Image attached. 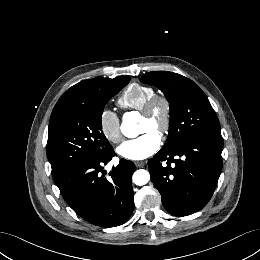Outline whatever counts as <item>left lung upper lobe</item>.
I'll use <instances>...</instances> for the list:
<instances>
[{"label": "left lung upper lobe", "mask_w": 260, "mask_h": 260, "mask_svg": "<svg viewBox=\"0 0 260 260\" xmlns=\"http://www.w3.org/2000/svg\"><path fill=\"white\" fill-rule=\"evenodd\" d=\"M140 81L159 88L169 102V135L163 148L176 147L197 136L221 134L209 100L192 80L160 71L144 74Z\"/></svg>", "instance_id": "obj_1"}]
</instances>
